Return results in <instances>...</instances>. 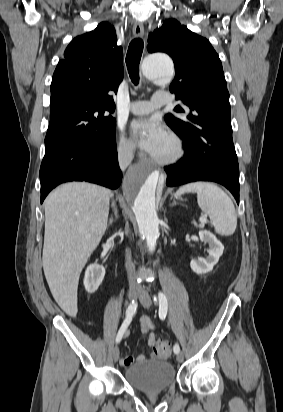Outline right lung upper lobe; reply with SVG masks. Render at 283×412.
Returning <instances> with one entry per match:
<instances>
[{
  "label": "right lung upper lobe",
  "mask_w": 283,
  "mask_h": 412,
  "mask_svg": "<svg viewBox=\"0 0 283 412\" xmlns=\"http://www.w3.org/2000/svg\"><path fill=\"white\" fill-rule=\"evenodd\" d=\"M113 26L103 22L68 45L53 74L50 115L74 104L115 108L113 96L123 79V52Z\"/></svg>",
  "instance_id": "1"
}]
</instances>
